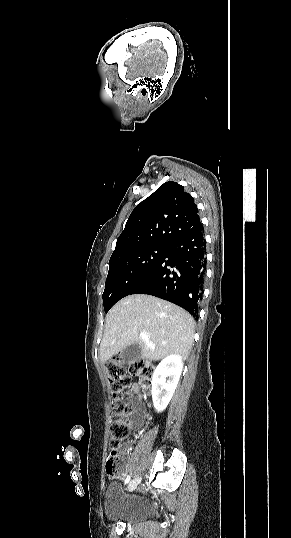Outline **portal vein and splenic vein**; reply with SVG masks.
Wrapping results in <instances>:
<instances>
[{
    "mask_svg": "<svg viewBox=\"0 0 291 538\" xmlns=\"http://www.w3.org/2000/svg\"><path fill=\"white\" fill-rule=\"evenodd\" d=\"M140 337H141L142 339H144L146 342H148V335H147L146 333L141 332V333H140Z\"/></svg>",
    "mask_w": 291,
    "mask_h": 538,
    "instance_id": "portal-vein-and-splenic-vein-1",
    "label": "portal vein and splenic vein"
}]
</instances>
